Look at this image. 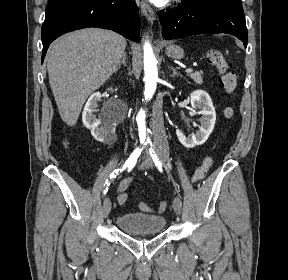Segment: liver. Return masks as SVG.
Here are the masks:
<instances>
[{
    "label": "liver",
    "mask_w": 288,
    "mask_h": 280,
    "mask_svg": "<svg viewBox=\"0 0 288 280\" xmlns=\"http://www.w3.org/2000/svg\"><path fill=\"white\" fill-rule=\"evenodd\" d=\"M126 45L113 31L88 28L68 33L50 47L49 83L67 125L77 123L86 99L113 74Z\"/></svg>",
    "instance_id": "1"
}]
</instances>
